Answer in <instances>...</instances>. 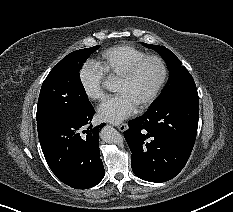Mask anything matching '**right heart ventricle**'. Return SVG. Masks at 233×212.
I'll list each match as a JSON object with an SVG mask.
<instances>
[{
    "instance_id": "obj_1",
    "label": "right heart ventricle",
    "mask_w": 233,
    "mask_h": 212,
    "mask_svg": "<svg viewBox=\"0 0 233 212\" xmlns=\"http://www.w3.org/2000/svg\"><path fill=\"white\" fill-rule=\"evenodd\" d=\"M145 55V51L134 46L117 45L102 52L96 64L104 75L119 77L135 60Z\"/></svg>"
}]
</instances>
